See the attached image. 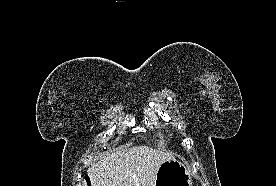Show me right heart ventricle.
Segmentation results:
<instances>
[{
	"mask_svg": "<svg viewBox=\"0 0 276 186\" xmlns=\"http://www.w3.org/2000/svg\"><path fill=\"white\" fill-rule=\"evenodd\" d=\"M160 143H164L163 137H160Z\"/></svg>",
	"mask_w": 276,
	"mask_h": 186,
	"instance_id": "e07e8e85",
	"label": "right heart ventricle"
}]
</instances>
